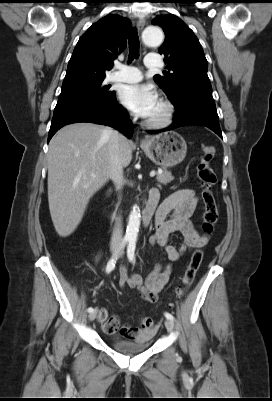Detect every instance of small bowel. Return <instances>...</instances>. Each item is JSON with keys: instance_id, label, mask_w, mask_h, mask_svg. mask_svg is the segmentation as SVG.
<instances>
[{"instance_id": "1", "label": "small bowel", "mask_w": 272, "mask_h": 401, "mask_svg": "<svg viewBox=\"0 0 272 401\" xmlns=\"http://www.w3.org/2000/svg\"><path fill=\"white\" fill-rule=\"evenodd\" d=\"M154 191L157 190L153 189L150 193ZM197 206L198 199L195 196V192L191 189H182L165 198L156 210V230L150 238V242L161 247L170 262L179 260L186 251L202 247L208 241L206 236L195 229L191 221ZM176 232L180 233L184 238V244L180 247H175L168 241L169 236ZM100 257L101 254L99 253L96 255L95 260L99 261ZM171 271V264L163 266L158 263L146 279H143L139 274L128 276L126 269L123 267L120 269L119 283L122 287L137 289L142 300L154 303L157 301L158 293L168 283ZM99 312L100 315L106 316L104 308H100ZM103 329L107 335H115L117 331H120L125 339L138 340L154 334L157 326L153 322L148 323L145 321H142L138 327L130 324L120 326L118 317L110 316L104 322Z\"/></svg>"}]
</instances>
